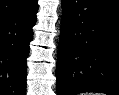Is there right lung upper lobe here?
I'll list each match as a JSON object with an SVG mask.
<instances>
[{
  "mask_svg": "<svg viewBox=\"0 0 119 95\" xmlns=\"http://www.w3.org/2000/svg\"><path fill=\"white\" fill-rule=\"evenodd\" d=\"M36 0H0V20L28 8Z\"/></svg>",
  "mask_w": 119,
  "mask_h": 95,
  "instance_id": "cb5924a9",
  "label": "right lung upper lobe"
}]
</instances>
